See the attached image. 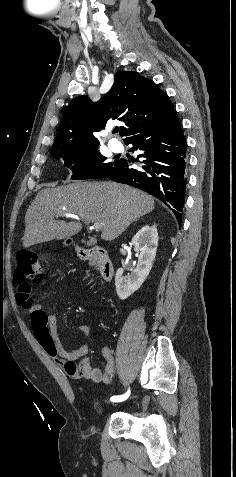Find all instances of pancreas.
Here are the masks:
<instances>
[{"instance_id":"1","label":"pancreas","mask_w":236,"mask_h":477,"mask_svg":"<svg viewBox=\"0 0 236 477\" xmlns=\"http://www.w3.org/2000/svg\"><path fill=\"white\" fill-rule=\"evenodd\" d=\"M91 265L97 266V263H96L95 261H92V262H91Z\"/></svg>"}]
</instances>
